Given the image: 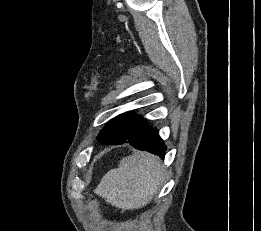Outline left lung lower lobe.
Returning <instances> with one entry per match:
<instances>
[{"label": "left lung lower lobe", "mask_w": 261, "mask_h": 231, "mask_svg": "<svg viewBox=\"0 0 261 231\" xmlns=\"http://www.w3.org/2000/svg\"><path fill=\"white\" fill-rule=\"evenodd\" d=\"M123 143H129L134 148L151 152L159 156L161 159H163L165 156L166 147L164 146V142L160 138L159 132L156 128H152L149 134L142 139L123 138L113 141L110 144L119 145Z\"/></svg>", "instance_id": "1"}]
</instances>
